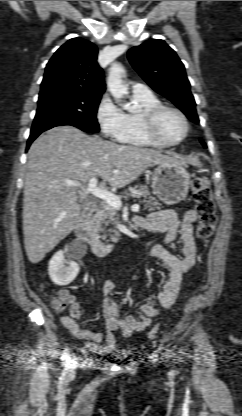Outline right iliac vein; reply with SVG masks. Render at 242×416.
<instances>
[{
	"instance_id": "obj_1",
	"label": "right iliac vein",
	"mask_w": 242,
	"mask_h": 416,
	"mask_svg": "<svg viewBox=\"0 0 242 416\" xmlns=\"http://www.w3.org/2000/svg\"><path fill=\"white\" fill-rule=\"evenodd\" d=\"M70 368H74L72 364L70 365Z\"/></svg>"
}]
</instances>
